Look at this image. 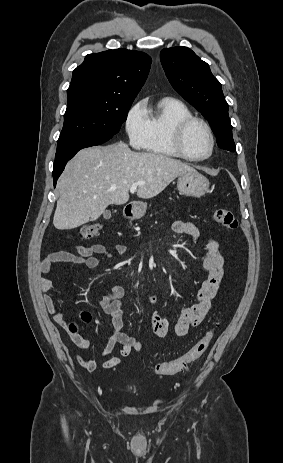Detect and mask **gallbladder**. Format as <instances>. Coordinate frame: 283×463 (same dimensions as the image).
I'll return each instance as SVG.
<instances>
[{
    "instance_id": "gallbladder-1",
    "label": "gallbladder",
    "mask_w": 283,
    "mask_h": 463,
    "mask_svg": "<svg viewBox=\"0 0 283 463\" xmlns=\"http://www.w3.org/2000/svg\"><path fill=\"white\" fill-rule=\"evenodd\" d=\"M110 216H111V212H110V211H105V212H104V217H105V218H108V217H110Z\"/></svg>"
}]
</instances>
